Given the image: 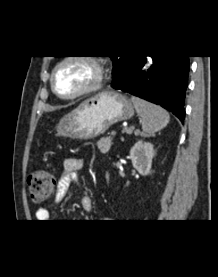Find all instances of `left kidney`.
<instances>
[{"label":"left kidney","instance_id":"obj_1","mask_svg":"<svg viewBox=\"0 0 218 277\" xmlns=\"http://www.w3.org/2000/svg\"><path fill=\"white\" fill-rule=\"evenodd\" d=\"M153 156V145L150 142L139 140L130 150L132 165L142 176L150 173Z\"/></svg>","mask_w":218,"mask_h":277}]
</instances>
